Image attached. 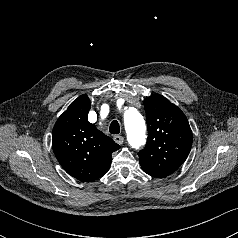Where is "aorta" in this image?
<instances>
[{
  "instance_id": "aorta-1",
  "label": "aorta",
  "mask_w": 238,
  "mask_h": 238,
  "mask_svg": "<svg viewBox=\"0 0 238 238\" xmlns=\"http://www.w3.org/2000/svg\"><path fill=\"white\" fill-rule=\"evenodd\" d=\"M124 123L127 139L134 148H139L145 142L146 125L142 115L134 108H128L124 113Z\"/></svg>"
}]
</instances>
